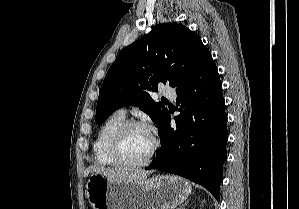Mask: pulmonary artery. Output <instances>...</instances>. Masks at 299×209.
<instances>
[{"mask_svg": "<svg viewBox=\"0 0 299 209\" xmlns=\"http://www.w3.org/2000/svg\"><path fill=\"white\" fill-rule=\"evenodd\" d=\"M160 93L166 97V98H169V99H175L176 97V93L175 91L170 88V87H163L161 88L160 90ZM118 112H120L121 114H126V109L125 108H121Z\"/></svg>", "mask_w": 299, "mask_h": 209, "instance_id": "obj_1", "label": "pulmonary artery"}]
</instances>
